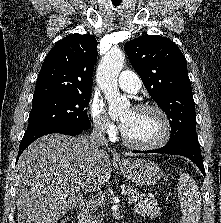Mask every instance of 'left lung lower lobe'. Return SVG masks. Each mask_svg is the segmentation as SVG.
<instances>
[{
  "instance_id": "obj_1",
  "label": "left lung lower lobe",
  "mask_w": 221,
  "mask_h": 223,
  "mask_svg": "<svg viewBox=\"0 0 221 223\" xmlns=\"http://www.w3.org/2000/svg\"><path fill=\"white\" fill-rule=\"evenodd\" d=\"M134 153H162L181 155L191 159L205 175V169L201 157V150L198 140H184L181 142L166 144L164 147L150 151H133Z\"/></svg>"
}]
</instances>
